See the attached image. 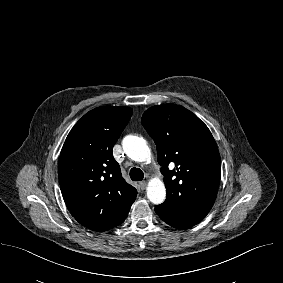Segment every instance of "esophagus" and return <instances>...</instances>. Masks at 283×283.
<instances>
[{"instance_id": "1", "label": "esophagus", "mask_w": 283, "mask_h": 283, "mask_svg": "<svg viewBox=\"0 0 283 283\" xmlns=\"http://www.w3.org/2000/svg\"><path fill=\"white\" fill-rule=\"evenodd\" d=\"M146 186H147L146 181H142V182L139 183V187H140L141 190H145Z\"/></svg>"}]
</instances>
